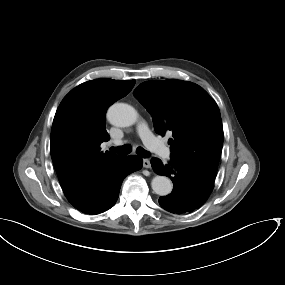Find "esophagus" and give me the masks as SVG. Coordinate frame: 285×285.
Instances as JSON below:
<instances>
[{"mask_svg":"<svg viewBox=\"0 0 285 285\" xmlns=\"http://www.w3.org/2000/svg\"><path fill=\"white\" fill-rule=\"evenodd\" d=\"M151 166V163H150V160L149 159H143V167L144 168H150Z\"/></svg>","mask_w":285,"mask_h":285,"instance_id":"34e87169","label":"esophagus"}]
</instances>
